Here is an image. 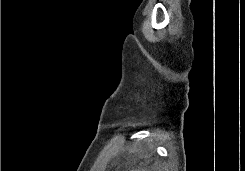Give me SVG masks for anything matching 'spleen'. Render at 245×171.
I'll return each mask as SVG.
<instances>
[{
    "instance_id": "obj_1",
    "label": "spleen",
    "mask_w": 245,
    "mask_h": 171,
    "mask_svg": "<svg viewBox=\"0 0 245 171\" xmlns=\"http://www.w3.org/2000/svg\"><path fill=\"white\" fill-rule=\"evenodd\" d=\"M136 171H146L145 169H142V170H136Z\"/></svg>"
}]
</instances>
